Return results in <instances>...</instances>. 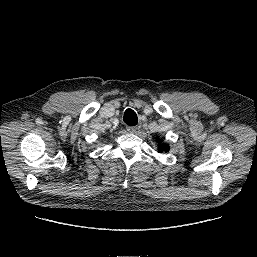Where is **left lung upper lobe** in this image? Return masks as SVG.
Wrapping results in <instances>:
<instances>
[{"mask_svg": "<svg viewBox=\"0 0 257 257\" xmlns=\"http://www.w3.org/2000/svg\"><path fill=\"white\" fill-rule=\"evenodd\" d=\"M158 141H159V139H158ZM158 149H159L160 152H163V151L168 152L169 151V146L167 144H162V145H159Z\"/></svg>", "mask_w": 257, "mask_h": 257, "instance_id": "5c2ea615", "label": "left lung upper lobe"}]
</instances>
